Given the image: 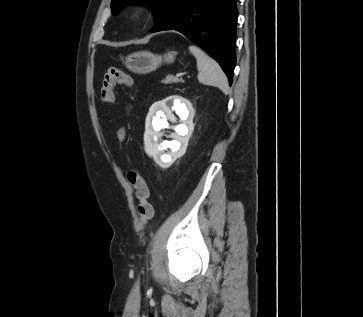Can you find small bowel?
Masks as SVG:
<instances>
[{
  "label": "small bowel",
  "mask_w": 363,
  "mask_h": 317,
  "mask_svg": "<svg viewBox=\"0 0 363 317\" xmlns=\"http://www.w3.org/2000/svg\"><path fill=\"white\" fill-rule=\"evenodd\" d=\"M125 137H126V131L124 129L118 130V132H117V138H118V140L120 142H122V141H124Z\"/></svg>",
  "instance_id": "1"
}]
</instances>
